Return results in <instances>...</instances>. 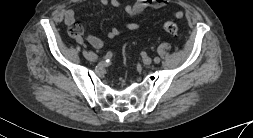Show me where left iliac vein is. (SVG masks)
<instances>
[{
	"mask_svg": "<svg viewBox=\"0 0 253 138\" xmlns=\"http://www.w3.org/2000/svg\"><path fill=\"white\" fill-rule=\"evenodd\" d=\"M142 62L145 64V65H150L152 63V59L148 56H144L142 58Z\"/></svg>",
	"mask_w": 253,
	"mask_h": 138,
	"instance_id": "4c4485c4",
	"label": "left iliac vein"
}]
</instances>
